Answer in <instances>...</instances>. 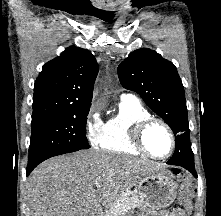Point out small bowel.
Here are the masks:
<instances>
[{"mask_svg": "<svg viewBox=\"0 0 221 216\" xmlns=\"http://www.w3.org/2000/svg\"><path fill=\"white\" fill-rule=\"evenodd\" d=\"M192 207L191 204L186 205L184 210L181 209H173L172 211H165L160 216H188Z\"/></svg>", "mask_w": 221, "mask_h": 216, "instance_id": "small-bowel-1", "label": "small bowel"}]
</instances>
